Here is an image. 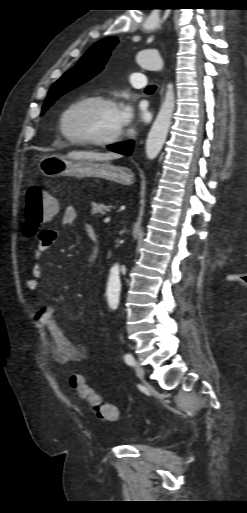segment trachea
Returning <instances> with one entry per match:
<instances>
[{
	"label": "trachea",
	"mask_w": 247,
	"mask_h": 513,
	"mask_svg": "<svg viewBox=\"0 0 247 513\" xmlns=\"http://www.w3.org/2000/svg\"><path fill=\"white\" fill-rule=\"evenodd\" d=\"M155 90H156V86H155V85H149V86L145 89V92H147V93H153Z\"/></svg>",
	"instance_id": "1"
}]
</instances>
